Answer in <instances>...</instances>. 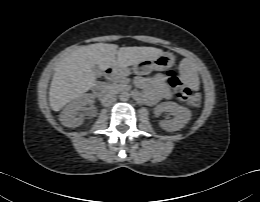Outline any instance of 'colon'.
<instances>
[{
	"mask_svg": "<svg viewBox=\"0 0 260 202\" xmlns=\"http://www.w3.org/2000/svg\"><path fill=\"white\" fill-rule=\"evenodd\" d=\"M167 80L172 93L178 100L193 107L200 105L201 94L188 89L173 69L167 71Z\"/></svg>",
	"mask_w": 260,
	"mask_h": 202,
	"instance_id": "5ec220e1",
	"label": "colon"
}]
</instances>
